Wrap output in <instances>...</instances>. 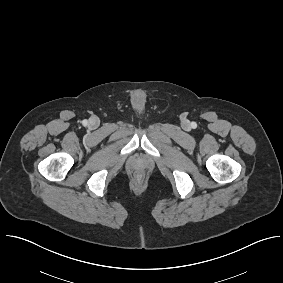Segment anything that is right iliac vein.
<instances>
[{"label":"right iliac vein","mask_w":283,"mask_h":283,"mask_svg":"<svg viewBox=\"0 0 283 283\" xmlns=\"http://www.w3.org/2000/svg\"><path fill=\"white\" fill-rule=\"evenodd\" d=\"M89 125L91 127H97L99 125V120L96 117H92L89 119Z\"/></svg>","instance_id":"right-iliac-vein-1"}]
</instances>
